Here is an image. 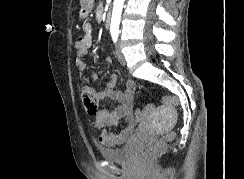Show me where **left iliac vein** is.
I'll list each match as a JSON object with an SVG mask.
<instances>
[{
  "label": "left iliac vein",
  "mask_w": 244,
  "mask_h": 179,
  "mask_svg": "<svg viewBox=\"0 0 244 179\" xmlns=\"http://www.w3.org/2000/svg\"><path fill=\"white\" fill-rule=\"evenodd\" d=\"M116 56L118 61L120 62L121 65H125L126 64V59L124 54L122 53V51L120 50V48L116 49Z\"/></svg>",
  "instance_id": "1"
}]
</instances>
